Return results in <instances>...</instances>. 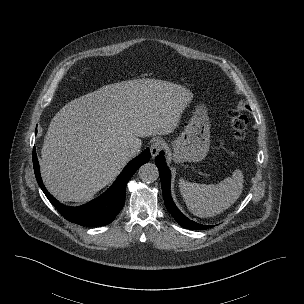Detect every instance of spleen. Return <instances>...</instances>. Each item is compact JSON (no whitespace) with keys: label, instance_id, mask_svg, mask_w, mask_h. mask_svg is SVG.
Here are the masks:
<instances>
[{"label":"spleen","instance_id":"1","mask_svg":"<svg viewBox=\"0 0 304 304\" xmlns=\"http://www.w3.org/2000/svg\"><path fill=\"white\" fill-rule=\"evenodd\" d=\"M180 191L188 209L199 217H212L228 209L240 197L243 189V175L236 170L232 177L220 183L197 184L180 181Z\"/></svg>","mask_w":304,"mask_h":304}]
</instances>
